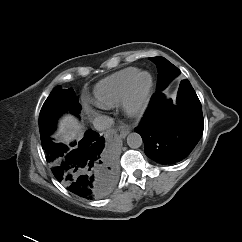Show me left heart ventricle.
Wrapping results in <instances>:
<instances>
[{"instance_id": "b2bd125f", "label": "left heart ventricle", "mask_w": 242, "mask_h": 242, "mask_svg": "<svg viewBox=\"0 0 242 242\" xmlns=\"http://www.w3.org/2000/svg\"><path fill=\"white\" fill-rule=\"evenodd\" d=\"M146 82H147V76H145V75L141 76V77L138 79V83H137L138 88H139V89L143 88V86L146 84Z\"/></svg>"}]
</instances>
